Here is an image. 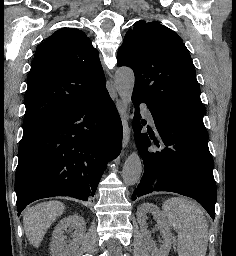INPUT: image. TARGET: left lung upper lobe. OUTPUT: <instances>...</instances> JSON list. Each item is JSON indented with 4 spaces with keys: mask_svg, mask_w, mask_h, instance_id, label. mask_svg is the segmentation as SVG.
<instances>
[{
    "mask_svg": "<svg viewBox=\"0 0 236 256\" xmlns=\"http://www.w3.org/2000/svg\"><path fill=\"white\" fill-rule=\"evenodd\" d=\"M118 66L134 71L133 97L199 125L205 107L189 52L166 26L144 20L134 23L117 54Z\"/></svg>",
    "mask_w": 236,
    "mask_h": 256,
    "instance_id": "left-lung-upper-lobe-1",
    "label": "left lung upper lobe"
}]
</instances>
